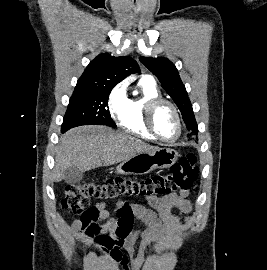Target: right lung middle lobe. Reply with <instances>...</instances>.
Here are the masks:
<instances>
[{
    "label": "right lung middle lobe",
    "instance_id": "right-lung-middle-lobe-1",
    "mask_svg": "<svg viewBox=\"0 0 267 270\" xmlns=\"http://www.w3.org/2000/svg\"><path fill=\"white\" fill-rule=\"evenodd\" d=\"M113 87L75 88L64 116L62 132L80 125H106L115 128L108 110V97Z\"/></svg>",
    "mask_w": 267,
    "mask_h": 270
}]
</instances>
